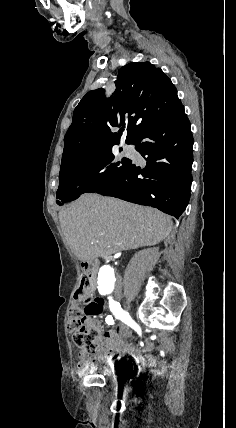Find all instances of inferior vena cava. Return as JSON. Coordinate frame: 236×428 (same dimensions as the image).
Here are the masks:
<instances>
[{
  "label": "inferior vena cava",
  "instance_id": "1",
  "mask_svg": "<svg viewBox=\"0 0 236 428\" xmlns=\"http://www.w3.org/2000/svg\"><path fill=\"white\" fill-rule=\"evenodd\" d=\"M117 275L119 277L117 278L118 285L115 287V295L120 297L123 294V291H121L123 283H122V278L120 277L122 274L119 272Z\"/></svg>",
  "mask_w": 236,
  "mask_h": 428
}]
</instances>
